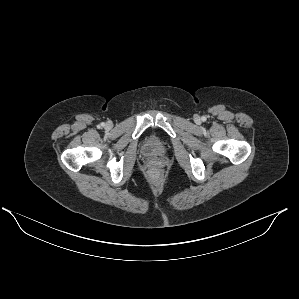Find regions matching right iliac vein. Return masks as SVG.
Returning a JSON list of instances; mask_svg holds the SVG:
<instances>
[{"mask_svg": "<svg viewBox=\"0 0 299 299\" xmlns=\"http://www.w3.org/2000/svg\"><path fill=\"white\" fill-rule=\"evenodd\" d=\"M111 126H112L111 123H107V124H106V127H107V128H110Z\"/></svg>", "mask_w": 299, "mask_h": 299, "instance_id": "63e3f726", "label": "right iliac vein"}]
</instances>
